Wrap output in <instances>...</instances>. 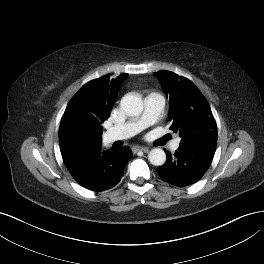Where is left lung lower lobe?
<instances>
[{
	"label": "left lung lower lobe",
	"mask_w": 264,
	"mask_h": 264,
	"mask_svg": "<svg viewBox=\"0 0 264 264\" xmlns=\"http://www.w3.org/2000/svg\"><path fill=\"white\" fill-rule=\"evenodd\" d=\"M167 161L157 168L159 176L167 183L185 187L199 181L209 168L213 152L178 148L175 154L166 151Z\"/></svg>",
	"instance_id": "0a47b994"
}]
</instances>
